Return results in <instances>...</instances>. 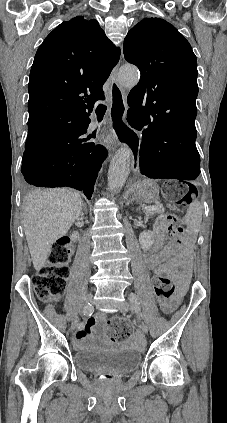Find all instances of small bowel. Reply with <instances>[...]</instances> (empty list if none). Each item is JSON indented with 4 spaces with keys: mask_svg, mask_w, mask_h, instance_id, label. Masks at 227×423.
Masks as SVG:
<instances>
[{
    "mask_svg": "<svg viewBox=\"0 0 227 423\" xmlns=\"http://www.w3.org/2000/svg\"><path fill=\"white\" fill-rule=\"evenodd\" d=\"M168 250L163 246L162 243H157L155 246L145 255V263L148 268L152 269L157 275L173 273L180 282V285L187 283L189 277V267L187 264V254H181L168 262H165V257ZM180 303V296L176 295L169 301L161 303V309L164 313L173 312ZM106 317L102 313H98L87 319L84 326L76 333L74 341L76 346L83 347L87 341L91 338L93 329L97 325H103ZM141 337L136 334L132 337L131 341L138 342Z\"/></svg>",
    "mask_w": 227,
    "mask_h": 423,
    "instance_id": "small-bowel-1",
    "label": "small bowel"
}]
</instances>
